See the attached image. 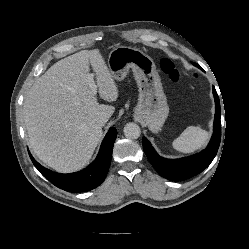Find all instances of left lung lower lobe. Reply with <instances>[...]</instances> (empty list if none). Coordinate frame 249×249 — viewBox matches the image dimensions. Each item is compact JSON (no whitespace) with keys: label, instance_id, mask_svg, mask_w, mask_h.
I'll use <instances>...</instances> for the list:
<instances>
[{"label":"left lung lower lobe","instance_id":"left-lung-lower-lobe-1","mask_svg":"<svg viewBox=\"0 0 249 249\" xmlns=\"http://www.w3.org/2000/svg\"><path fill=\"white\" fill-rule=\"evenodd\" d=\"M215 98V119L213 126V136L207 148L198 154L180 159H166L159 156L150 142L142 138L144 151L156 169L163 177L172 181H182L191 178L207 168L217 154L221 140V123H220V101L218 94L213 87Z\"/></svg>","mask_w":249,"mask_h":249}]
</instances>
